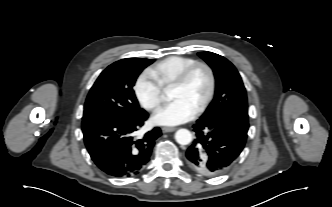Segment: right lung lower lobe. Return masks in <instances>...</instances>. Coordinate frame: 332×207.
Masks as SVG:
<instances>
[{"mask_svg": "<svg viewBox=\"0 0 332 207\" xmlns=\"http://www.w3.org/2000/svg\"><path fill=\"white\" fill-rule=\"evenodd\" d=\"M147 118L148 113L143 111L129 118L102 116L82 122L86 148L102 171L114 177H130L144 168L161 135L160 128L155 127L142 139L132 137Z\"/></svg>", "mask_w": 332, "mask_h": 207, "instance_id": "obj_1", "label": "right lung lower lobe"}]
</instances>
